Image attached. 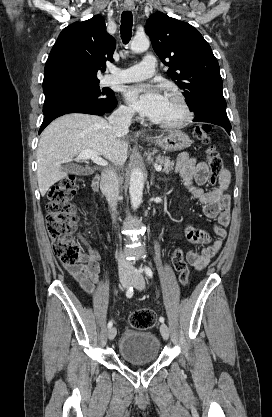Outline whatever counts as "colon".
I'll return each mask as SVG.
<instances>
[{
	"instance_id": "obj_1",
	"label": "colon",
	"mask_w": 272,
	"mask_h": 417,
	"mask_svg": "<svg viewBox=\"0 0 272 417\" xmlns=\"http://www.w3.org/2000/svg\"><path fill=\"white\" fill-rule=\"evenodd\" d=\"M212 126L200 124L195 126L194 135L198 140L209 142ZM207 162L211 172V182L216 183L223 171V162L215 146L206 150ZM78 190L75 176L68 175L54 184L48 191L47 229L53 242L54 253L64 264L76 265L82 261L83 255L76 241L77 217L70 200ZM172 264L179 274L182 285L189 282V268L180 249L174 251ZM130 325L136 329L146 330L155 325L156 314L153 310L142 308L131 313Z\"/></svg>"
}]
</instances>
